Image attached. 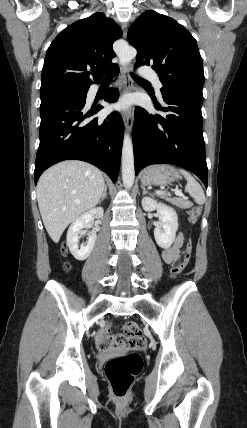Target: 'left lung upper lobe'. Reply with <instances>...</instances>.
<instances>
[{
  "label": "left lung upper lobe",
  "mask_w": 247,
  "mask_h": 428,
  "mask_svg": "<svg viewBox=\"0 0 247 428\" xmlns=\"http://www.w3.org/2000/svg\"><path fill=\"white\" fill-rule=\"evenodd\" d=\"M128 41L137 49L136 66L151 65L157 72L162 95L203 100V61L196 40L182 25L149 10L131 25Z\"/></svg>",
  "instance_id": "obj_1"
}]
</instances>
